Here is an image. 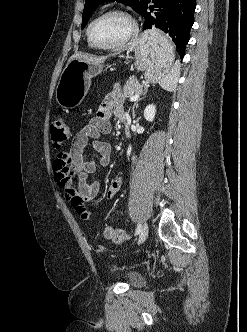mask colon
Listing matches in <instances>:
<instances>
[{"label":"colon","instance_id":"1","mask_svg":"<svg viewBox=\"0 0 247 332\" xmlns=\"http://www.w3.org/2000/svg\"><path fill=\"white\" fill-rule=\"evenodd\" d=\"M52 145L56 149L62 148L70 137V127L64 118L55 119L50 128ZM104 238L117 244L125 243L129 240L130 235L122 229L105 227L102 229Z\"/></svg>","mask_w":247,"mask_h":332}]
</instances>
